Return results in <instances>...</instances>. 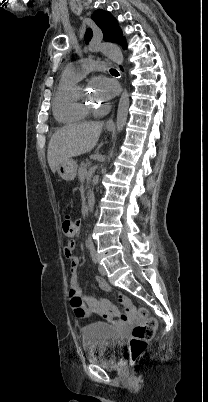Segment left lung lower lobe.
Returning <instances> with one entry per match:
<instances>
[{
  "label": "left lung lower lobe",
  "mask_w": 208,
  "mask_h": 402,
  "mask_svg": "<svg viewBox=\"0 0 208 402\" xmlns=\"http://www.w3.org/2000/svg\"><path fill=\"white\" fill-rule=\"evenodd\" d=\"M121 46H122L123 48H126V42H125V39H123V41L121 42ZM121 70H122V67H121Z\"/></svg>",
  "instance_id": "0a47b994"
}]
</instances>
